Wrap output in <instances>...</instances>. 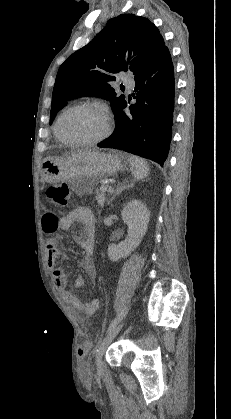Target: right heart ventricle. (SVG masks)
<instances>
[{"label":"right heart ventricle","instance_id":"obj_1","mask_svg":"<svg viewBox=\"0 0 231 419\" xmlns=\"http://www.w3.org/2000/svg\"><path fill=\"white\" fill-rule=\"evenodd\" d=\"M59 118V117H58ZM58 120V119H57ZM56 123H57V121H56ZM54 133H55V136H56V139L58 140V141H60V142H64L60 137H59V135H58V133H57V129H56V124H55V127H54Z\"/></svg>","mask_w":231,"mask_h":419}]
</instances>
